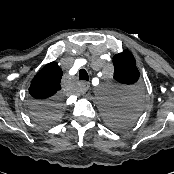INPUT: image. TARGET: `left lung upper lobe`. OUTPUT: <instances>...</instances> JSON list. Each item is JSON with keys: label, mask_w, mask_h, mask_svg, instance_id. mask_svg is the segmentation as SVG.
Returning a JSON list of instances; mask_svg holds the SVG:
<instances>
[{"label": "left lung upper lobe", "mask_w": 174, "mask_h": 174, "mask_svg": "<svg viewBox=\"0 0 174 174\" xmlns=\"http://www.w3.org/2000/svg\"><path fill=\"white\" fill-rule=\"evenodd\" d=\"M114 79L123 84H134L139 79V71L136 67L135 59L131 52L124 50L113 57ZM128 102L124 106L111 107V112L106 116L108 123L115 129L128 127L136 118V105L138 95L129 96Z\"/></svg>", "instance_id": "left-lung-upper-lobe-1"}]
</instances>
